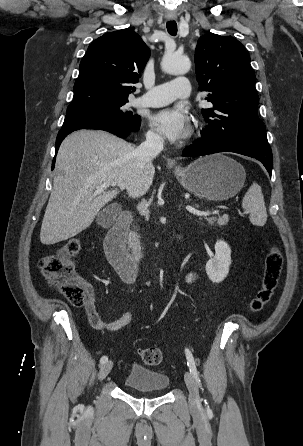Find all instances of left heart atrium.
<instances>
[{
    "instance_id": "obj_1",
    "label": "left heart atrium",
    "mask_w": 303,
    "mask_h": 446,
    "mask_svg": "<svg viewBox=\"0 0 303 446\" xmlns=\"http://www.w3.org/2000/svg\"><path fill=\"white\" fill-rule=\"evenodd\" d=\"M152 125L167 139L176 141L185 138L190 132V117L180 107H168L153 113Z\"/></svg>"
}]
</instances>
